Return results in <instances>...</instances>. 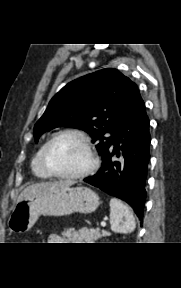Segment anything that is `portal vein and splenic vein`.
<instances>
[{
  "label": "portal vein and splenic vein",
  "instance_id": "obj_1",
  "mask_svg": "<svg viewBox=\"0 0 181 288\" xmlns=\"http://www.w3.org/2000/svg\"><path fill=\"white\" fill-rule=\"evenodd\" d=\"M101 226H102V227H105V226H106V223H105V222H102V223H101Z\"/></svg>",
  "mask_w": 181,
  "mask_h": 288
}]
</instances>
